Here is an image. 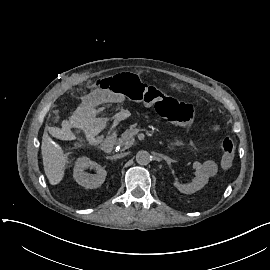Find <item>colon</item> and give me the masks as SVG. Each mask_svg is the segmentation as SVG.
I'll list each match as a JSON object with an SVG mask.
<instances>
[{"label": "colon", "instance_id": "5ec220e1", "mask_svg": "<svg viewBox=\"0 0 270 270\" xmlns=\"http://www.w3.org/2000/svg\"><path fill=\"white\" fill-rule=\"evenodd\" d=\"M95 85L99 89H108L115 93H120L127 98L154 107L157 113L167 118L178 126H192L194 122V111L190 103L178 100L164 94L157 87L141 81L138 74L126 72L118 74L114 78L99 76L95 80ZM220 149L223 155L221 164L225 168H230L234 164L232 156L235 151V142L229 135L223 134L220 142Z\"/></svg>", "mask_w": 270, "mask_h": 270}]
</instances>
